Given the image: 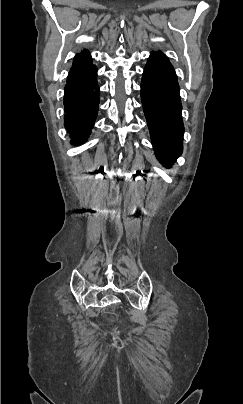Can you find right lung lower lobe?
I'll return each instance as SVG.
<instances>
[{
  "instance_id": "98d812e1",
  "label": "right lung lower lobe",
  "mask_w": 243,
  "mask_h": 404,
  "mask_svg": "<svg viewBox=\"0 0 243 404\" xmlns=\"http://www.w3.org/2000/svg\"><path fill=\"white\" fill-rule=\"evenodd\" d=\"M66 82L64 125L71 137V143L80 145L88 138L98 113L100 93L97 68L92 65L83 71L70 74Z\"/></svg>"
}]
</instances>
